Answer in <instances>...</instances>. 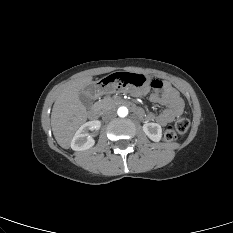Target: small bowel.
Masks as SVG:
<instances>
[{"mask_svg": "<svg viewBox=\"0 0 233 233\" xmlns=\"http://www.w3.org/2000/svg\"><path fill=\"white\" fill-rule=\"evenodd\" d=\"M147 93L148 89L142 88L135 92V95L142 97ZM150 100L164 106L165 108L159 114L148 113L144 115L142 112L141 116H144L148 122H157L160 125H166L180 116L183 112V100L179 96L178 92L168 83H164V87L161 89L153 90L150 94Z\"/></svg>", "mask_w": 233, "mask_h": 233, "instance_id": "c3829d8e", "label": "small bowel"}]
</instances>
